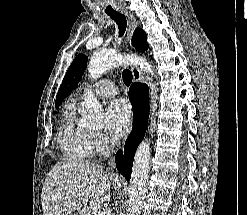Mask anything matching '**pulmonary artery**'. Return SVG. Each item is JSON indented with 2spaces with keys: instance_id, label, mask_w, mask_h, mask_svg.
I'll use <instances>...</instances> for the list:
<instances>
[{
  "instance_id": "1",
  "label": "pulmonary artery",
  "mask_w": 247,
  "mask_h": 215,
  "mask_svg": "<svg viewBox=\"0 0 247 215\" xmlns=\"http://www.w3.org/2000/svg\"><path fill=\"white\" fill-rule=\"evenodd\" d=\"M92 90L96 96L112 97L117 94V86L110 79H102L92 85Z\"/></svg>"
}]
</instances>
